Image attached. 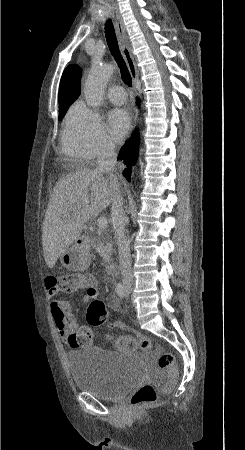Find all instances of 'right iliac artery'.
Instances as JSON below:
<instances>
[{
	"label": "right iliac artery",
	"mask_w": 245,
	"mask_h": 450,
	"mask_svg": "<svg viewBox=\"0 0 245 450\" xmlns=\"http://www.w3.org/2000/svg\"><path fill=\"white\" fill-rule=\"evenodd\" d=\"M116 292L121 298L124 296V287H123L122 283L117 284Z\"/></svg>",
	"instance_id": "right-iliac-artery-1"
}]
</instances>
